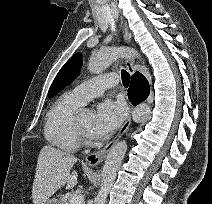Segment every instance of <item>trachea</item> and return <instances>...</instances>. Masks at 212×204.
<instances>
[{"label": "trachea", "instance_id": "obj_1", "mask_svg": "<svg viewBox=\"0 0 212 204\" xmlns=\"http://www.w3.org/2000/svg\"><path fill=\"white\" fill-rule=\"evenodd\" d=\"M122 74V83L124 87H128L130 83V75L126 70L121 71Z\"/></svg>", "mask_w": 212, "mask_h": 204}]
</instances>
